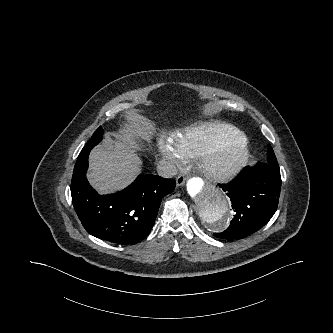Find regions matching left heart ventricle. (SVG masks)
<instances>
[{
	"instance_id": "1",
	"label": "left heart ventricle",
	"mask_w": 333,
	"mask_h": 333,
	"mask_svg": "<svg viewBox=\"0 0 333 333\" xmlns=\"http://www.w3.org/2000/svg\"><path fill=\"white\" fill-rule=\"evenodd\" d=\"M221 159H222V161H226L227 160L226 156H222Z\"/></svg>"
}]
</instances>
